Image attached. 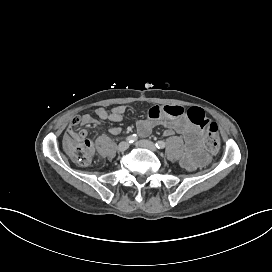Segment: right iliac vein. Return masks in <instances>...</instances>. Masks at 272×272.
I'll use <instances>...</instances> for the list:
<instances>
[{
  "instance_id": "right-iliac-vein-1",
  "label": "right iliac vein",
  "mask_w": 272,
  "mask_h": 272,
  "mask_svg": "<svg viewBox=\"0 0 272 272\" xmlns=\"http://www.w3.org/2000/svg\"><path fill=\"white\" fill-rule=\"evenodd\" d=\"M129 148V144L127 142H121L119 145H118V150L120 152H124L126 151L127 149Z\"/></svg>"
}]
</instances>
